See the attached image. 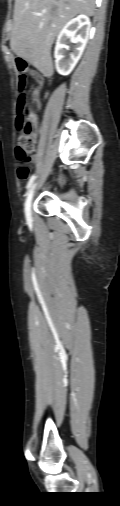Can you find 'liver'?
<instances>
[{
	"mask_svg": "<svg viewBox=\"0 0 120 506\" xmlns=\"http://www.w3.org/2000/svg\"><path fill=\"white\" fill-rule=\"evenodd\" d=\"M95 0H15L10 46L43 74L53 73L51 47L78 14L93 16Z\"/></svg>",
	"mask_w": 120,
	"mask_h": 506,
	"instance_id": "1",
	"label": "liver"
}]
</instances>
